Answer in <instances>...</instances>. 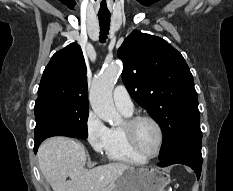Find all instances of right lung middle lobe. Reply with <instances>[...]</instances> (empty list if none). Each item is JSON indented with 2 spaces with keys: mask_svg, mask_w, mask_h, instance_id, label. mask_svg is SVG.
Returning a JSON list of instances; mask_svg holds the SVG:
<instances>
[{
  "mask_svg": "<svg viewBox=\"0 0 233 191\" xmlns=\"http://www.w3.org/2000/svg\"><path fill=\"white\" fill-rule=\"evenodd\" d=\"M34 112L35 140L51 136L88 137V107L47 100L36 102Z\"/></svg>",
  "mask_w": 233,
  "mask_h": 191,
  "instance_id": "obj_1",
  "label": "right lung middle lobe"
}]
</instances>
